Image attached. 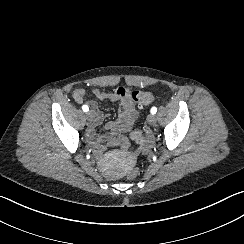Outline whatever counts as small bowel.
<instances>
[{"label":"small bowel","instance_id":"c3829d8e","mask_svg":"<svg viewBox=\"0 0 244 244\" xmlns=\"http://www.w3.org/2000/svg\"><path fill=\"white\" fill-rule=\"evenodd\" d=\"M91 92L99 100L106 101L112 99L109 94L100 90L99 88H93ZM87 93L88 91L85 88H77L73 92V100L79 104L86 102L90 107L91 113L94 117V122L90 126L89 133L94 140H96L98 143L112 140L113 134L128 132L132 128L137 118V111L132 99L127 96L122 98L120 101L121 112L119 118L115 121L107 123L106 133L96 136L94 134L95 126L102 122L104 116L94 101L86 100ZM139 143L141 144V148L143 150H147L148 147L153 146L154 139L151 136H146L144 137L143 141Z\"/></svg>","mask_w":244,"mask_h":244}]
</instances>
